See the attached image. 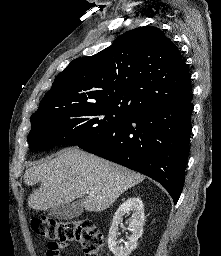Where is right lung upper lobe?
I'll return each mask as SVG.
<instances>
[{
  "label": "right lung upper lobe",
  "mask_w": 221,
  "mask_h": 256,
  "mask_svg": "<svg viewBox=\"0 0 221 256\" xmlns=\"http://www.w3.org/2000/svg\"><path fill=\"white\" fill-rule=\"evenodd\" d=\"M190 96L180 51L160 29L144 26L124 33L93 56L70 62L33 115L94 103L126 107L136 114Z\"/></svg>",
  "instance_id": "obj_1"
}]
</instances>
